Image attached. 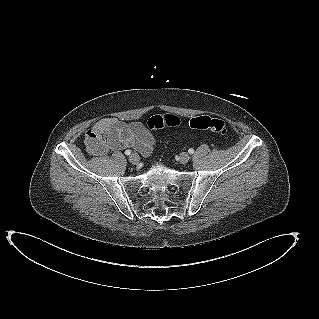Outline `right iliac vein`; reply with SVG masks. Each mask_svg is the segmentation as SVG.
I'll use <instances>...</instances> for the list:
<instances>
[{
	"instance_id": "63e3f726",
	"label": "right iliac vein",
	"mask_w": 319,
	"mask_h": 319,
	"mask_svg": "<svg viewBox=\"0 0 319 319\" xmlns=\"http://www.w3.org/2000/svg\"><path fill=\"white\" fill-rule=\"evenodd\" d=\"M140 160V157L138 154L136 153H132L130 156H129V161L132 163V164H137Z\"/></svg>"
}]
</instances>
